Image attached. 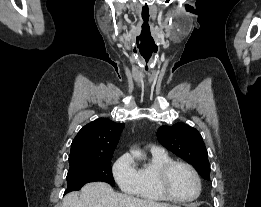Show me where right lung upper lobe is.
Segmentation results:
<instances>
[{
  "mask_svg": "<svg viewBox=\"0 0 261 207\" xmlns=\"http://www.w3.org/2000/svg\"><path fill=\"white\" fill-rule=\"evenodd\" d=\"M124 123L99 118L85 125L71 144L69 163L107 159L119 141Z\"/></svg>",
  "mask_w": 261,
  "mask_h": 207,
  "instance_id": "cb5924a9",
  "label": "right lung upper lobe"
}]
</instances>
